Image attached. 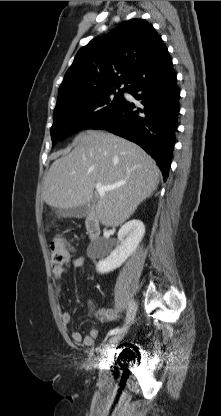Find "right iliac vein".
Returning a JSON list of instances; mask_svg holds the SVG:
<instances>
[{
	"label": "right iliac vein",
	"instance_id": "obj_1",
	"mask_svg": "<svg viewBox=\"0 0 221 416\" xmlns=\"http://www.w3.org/2000/svg\"><path fill=\"white\" fill-rule=\"evenodd\" d=\"M137 310V304L136 302H131L127 311L126 321H125V327H123L122 331L116 333L114 336H112L108 344H115L123 339L125 334L127 333V327L128 325L134 320V317L136 315Z\"/></svg>",
	"mask_w": 221,
	"mask_h": 416
}]
</instances>
